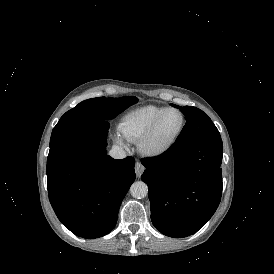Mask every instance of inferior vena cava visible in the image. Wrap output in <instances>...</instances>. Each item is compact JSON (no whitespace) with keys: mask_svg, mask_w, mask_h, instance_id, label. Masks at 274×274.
<instances>
[{"mask_svg":"<svg viewBox=\"0 0 274 274\" xmlns=\"http://www.w3.org/2000/svg\"><path fill=\"white\" fill-rule=\"evenodd\" d=\"M109 155L114 159H123L126 157V151L120 146L113 145Z\"/></svg>","mask_w":274,"mask_h":274,"instance_id":"inferior-vena-cava-1","label":"inferior vena cava"}]
</instances>
